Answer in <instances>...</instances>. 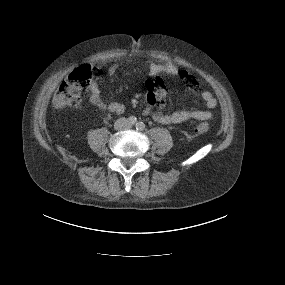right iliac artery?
<instances>
[{
    "mask_svg": "<svg viewBox=\"0 0 285 285\" xmlns=\"http://www.w3.org/2000/svg\"><path fill=\"white\" fill-rule=\"evenodd\" d=\"M128 121L130 125H134L136 123V117L131 116Z\"/></svg>",
    "mask_w": 285,
    "mask_h": 285,
    "instance_id": "right-iliac-artery-1",
    "label": "right iliac artery"
}]
</instances>
